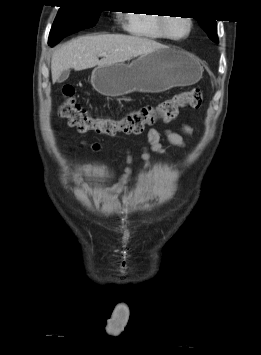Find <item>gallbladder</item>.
<instances>
[{
	"instance_id": "gallbladder-1",
	"label": "gallbladder",
	"mask_w": 261,
	"mask_h": 355,
	"mask_svg": "<svg viewBox=\"0 0 261 355\" xmlns=\"http://www.w3.org/2000/svg\"><path fill=\"white\" fill-rule=\"evenodd\" d=\"M70 71L69 70H64L61 75L59 76V78L57 79L58 83H63L64 81H66L69 77Z\"/></svg>"
}]
</instances>
